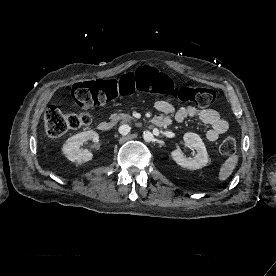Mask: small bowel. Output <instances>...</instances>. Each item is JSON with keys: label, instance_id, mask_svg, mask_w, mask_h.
Instances as JSON below:
<instances>
[{"label": "small bowel", "instance_id": "c3829d8e", "mask_svg": "<svg viewBox=\"0 0 276 276\" xmlns=\"http://www.w3.org/2000/svg\"><path fill=\"white\" fill-rule=\"evenodd\" d=\"M155 108L162 113L159 117L167 119L169 124L172 122V117H174L177 122H183L187 118H197L204 124L209 125L210 129L206 133V138L210 142L216 141L229 128L228 121L215 109H199L193 106L176 109L165 100L157 101Z\"/></svg>", "mask_w": 276, "mask_h": 276}]
</instances>
